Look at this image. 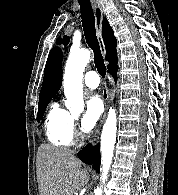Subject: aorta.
Instances as JSON below:
<instances>
[{"label":"aorta","instance_id":"aorta-1","mask_svg":"<svg viewBox=\"0 0 178 195\" xmlns=\"http://www.w3.org/2000/svg\"><path fill=\"white\" fill-rule=\"evenodd\" d=\"M91 53L82 49L70 53L64 72V93L66 107L72 114L83 110V72L90 61ZM117 118L116 110L110 108L101 134V182L105 183L112 163L114 145L116 142ZM95 195H102V185L94 191Z\"/></svg>","mask_w":178,"mask_h":195}]
</instances>
